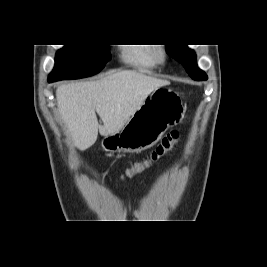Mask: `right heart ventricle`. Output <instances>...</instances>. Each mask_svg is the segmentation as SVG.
Instances as JSON below:
<instances>
[{"label":"right heart ventricle","mask_w":267,"mask_h":267,"mask_svg":"<svg viewBox=\"0 0 267 267\" xmlns=\"http://www.w3.org/2000/svg\"><path fill=\"white\" fill-rule=\"evenodd\" d=\"M155 52L153 46H123L120 58L122 62L139 70H152L157 66Z\"/></svg>","instance_id":"e07e8e85"}]
</instances>
